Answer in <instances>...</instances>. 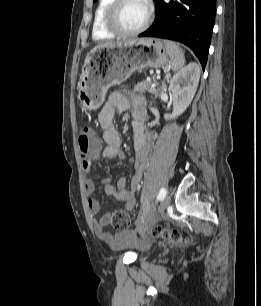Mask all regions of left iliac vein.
<instances>
[{
  "label": "left iliac vein",
  "instance_id": "left-iliac-vein-1",
  "mask_svg": "<svg viewBox=\"0 0 261 306\" xmlns=\"http://www.w3.org/2000/svg\"><path fill=\"white\" fill-rule=\"evenodd\" d=\"M170 201H171V196L170 195H167L163 198L161 203L158 205L155 213L152 215V217L150 219H148L146 221V223L144 225L145 228L148 227V226H151L157 220L159 215L162 214L167 209V207L170 204Z\"/></svg>",
  "mask_w": 261,
  "mask_h": 306
}]
</instances>
